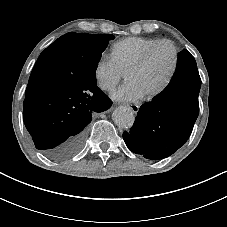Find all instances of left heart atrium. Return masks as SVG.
Instances as JSON below:
<instances>
[{"label":"left heart atrium","mask_w":227,"mask_h":227,"mask_svg":"<svg viewBox=\"0 0 227 227\" xmlns=\"http://www.w3.org/2000/svg\"><path fill=\"white\" fill-rule=\"evenodd\" d=\"M145 94L133 83H127L112 95L113 99L123 102H136Z\"/></svg>","instance_id":"39dd6f15"}]
</instances>
